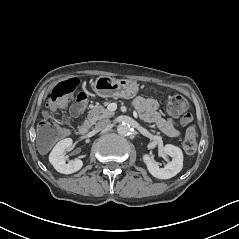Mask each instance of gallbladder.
Listing matches in <instances>:
<instances>
[{
    "instance_id": "gallbladder-1",
    "label": "gallbladder",
    "mask_w": 239,
    "mask_h": 239,
    "mask_svg": "<svg viewBox=\"0 0 239 239\" xmlns=\"http://www.w3.org/2000/svg\"><path fill=\"white\" fill-rule=\"evenodd\" d=\"M47 149H48V148H46V150H47ZM38 151H39V153H41V148L38 147Z\"/></svg>"
}]
</instances>
